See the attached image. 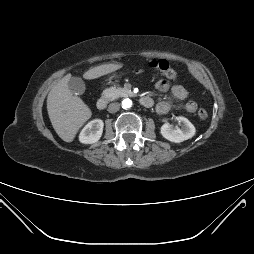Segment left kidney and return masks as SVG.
<instances>
[{"label": "left kidney", "instance_id": "left-kidney-1", "mask_svg": "<svg viewBox=\"0 0 254 254\" xmlns=\"http://www.w3.org/2000/svg\"><path fill=\"white\" fill-rule=\"evenodd\" d=\"M181 123V127H173L169 123H165L161 127L162 136L174 143H180L192 138L195 135L196 129L194 125L185 117H177Z\"/></svg>", "mask_w": 254, "mask_h": 254}]
</instances>
